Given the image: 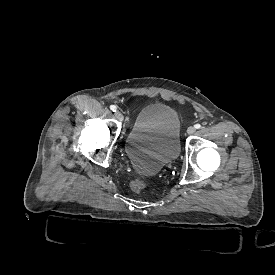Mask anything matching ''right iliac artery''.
I'll return each mask as SVG.
<instances>
[{
    "instance_id": "obj_1",
    "label": "right iliac artery",
    "mask_w": 275,
    "mask_h": 275,
    "mask_svg": "<svg viewBox=\"0 0 275 275\" xmlns=\"http://www.w3.org/2000/svg\"><path fill=\"white\" fill-rule=\"evenodd\" d=\"M110 109H111L113 112H116L117 107H116L115 105H111V106H110Z\"/></svg>"
}]
</instances>
